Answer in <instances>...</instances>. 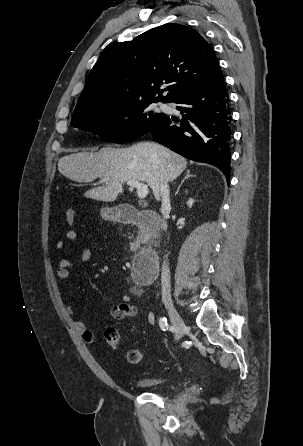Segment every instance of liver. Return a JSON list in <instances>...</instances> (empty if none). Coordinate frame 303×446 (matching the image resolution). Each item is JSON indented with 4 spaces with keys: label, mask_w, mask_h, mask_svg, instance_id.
Listing matches in <instances>:
<instances>
[{
    "label": "liver",
    "mask_w": 303,
    "mask_h": 446,
    "mask_svg": "<svg viewBox=\"0 0 303 446\" xmlns=\"http://www.w3.org/2000/svg\"><path fill=\"white\" fill-rule=\"evenodd\" d=\"M184 157L154 142H140L129 148L103 147L98 152H80L64 156L58 170L76 182L109 178L102 186L85 192L86 198L103 202L115 201L128 180L146 182L156 199L161 184L173 181L186 168Z\"/></svg>",
    "instance_id": "1"
}]
</instances>
